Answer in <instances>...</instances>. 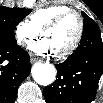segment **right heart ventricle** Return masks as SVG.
Listing matches in <instances>:
<instances>
[{"label": "right heart ventricle", "instance_id": "1", "mask_svg": "<svg viewBox=\"0 0 103 103\" xmlns=\"http://www.w3.org/2000/svg\"><path fill=\"white\" fill-rule=\"evenodd\" d=\"M66 5H51L36 10L30 15V23L39 31L61 13L70 10Z\"/></svg>", "mask_w": 103, "mask_h": 103}]
</instances>
